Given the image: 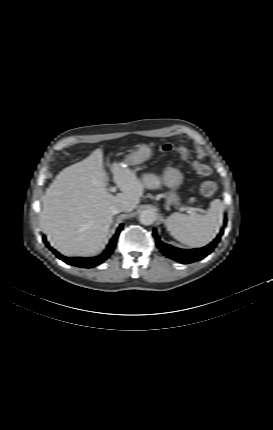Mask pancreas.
Here are the masks:
<instances>
[{
	"label": "pancreas",
	"instance_id": "1",
	"mask_svg": "<svg viewBox=\"0 0 273 430\" xmlns=\"http://www.w3.org/2000/svg\"><path fill=\"white\" fill-rule=\"evenodd\" d=\"M142 184L144 188L147 189H156L161 185V179L159 176L155 174H144L142 179Z\"/></svg>",
	"mask_w": 273,
	"mask_h": 430
}]
</instances>
